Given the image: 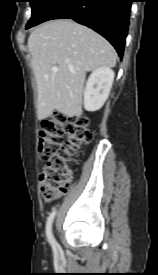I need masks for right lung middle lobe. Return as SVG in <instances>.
Here are the masks:
<instances>
[{
    "label": "right lung middle lobe",
    "instance_id": "1",
    "mask_svg": "<svg viewBox=\"0 0 158 275\" xmlns=\"http://www.w3.org/2000/svg\"><path fill=\"white\" fill-rule=\"evenodd\" d=\"M32 8V17L27 23L26 29L36 25L44 13L56 0H29Z\"/></svg>",
    "mask_w": 158,
    "mask_h": 275
}]
</instances>
